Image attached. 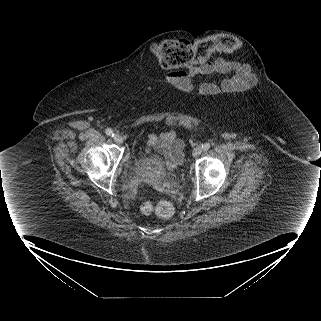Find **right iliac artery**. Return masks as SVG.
Returning <instances> with one entry per match:
<instances>
[{
  "mask_svg": "<svg viewBox=\"0 0 321 321\" xmlns=\"http://www.w3.org/2000/svg\"><path fill=\"white\" fill-rule=\"evenodd\" d=\"M106 134L109 135V136H111V137L114 136V133H113V131H112L110 128L106 129Z\"/></svg>",
  "mask_w": 321,
  "mask_h": 321,
  "instance_id": "82829eb1",
  "label": "right iliac artery"
}]
</instances>
